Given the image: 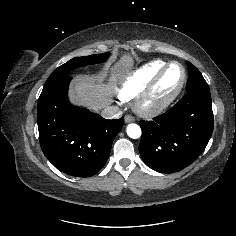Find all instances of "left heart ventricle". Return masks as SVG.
Segmentation results:
<instances>
[{
	"mask_svg": "<svg viewBox=\"0 0 236 236\" xmlns=\"http://www.w3.org/2000/svg\"><path fill=\"white\" fill-rule=\"evenodd\" d=\"M182 78V70L178 65H172L169 67L164 77L157 85L152 98L151 103H157L168 96H170L178 87Z\"/></svg>",
	"mask_w": 236,
	"mask_h": 236,
	"instance_id": "1",
	"label": "left heart ventricle"
}]
</instances>
